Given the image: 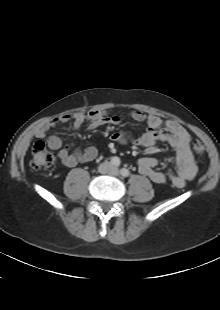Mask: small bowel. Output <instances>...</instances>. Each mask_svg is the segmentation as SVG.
Returning <instances> with one entry per match:
<instances>
[{"mask_svg":"<svg viewBox=\"0 0 220 310\" xmlns=\"http://www.w3.org/2000/svg\"><path fill=\"white\" fill-rule=\"evenodd\" d=\"M129 115L135 121L146 122L147 129L136 138L123 131L114 132L110 135V140L113 143L120 144L134 141L136 144L145 148L152 147L156 141L168 143L174 148L176 154L175 172L165 174L158 171L159 162L153 157L140 158L137 163L138 170L142 175L156 184H164L170 181L178 188L184 187L197 173V166L190 148L191 137L186 129L173 120H163L156 115L147 114L139 110H132ZM70 120H73L76 130L82 128L93 130L102 125H119L121 123L120 116L112 115L102 110L63 115L45 123L37 130L36 136L44 140L51 149L58 151V157L66 167H75L78 164L93 161L98 156V150L93 145L84 149L76 148L71 150L70 147L63 144L61 138L48 134L51 129Z\"/></svg>","mask_w":220,"mask_h":310,"instance_id":"c3829d8e","label":"small bowel"}]
</instances>
